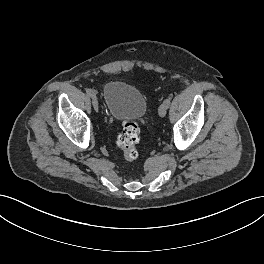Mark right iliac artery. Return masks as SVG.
I'll list each match as a JSON object with an SVG mask.
<instances>
[{"label":"right iliac artery","instance_id":"1","mask_svg":"<svg viewBox=\"0 0 264 264\" xmlns=\"http://www.w3.org/2000/svg\"><path fill=\"white\" fill-rule=\"evenodd\" d=\"M86 93L88 96L92 97L94 95V92L91 89H87Z\"/></svg>","mask_w":264,"mask_h":264}]
</instances>
